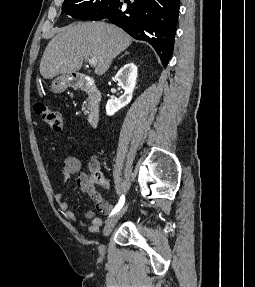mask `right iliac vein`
I'll return each mask as SVG.
<instances>
[{"label": "right iliac vein", "mask_w": 255, "mask_h": 287, "mask_svg": "<svg viewBox=\"0 0 255 287\" xmlns=\"http://www.w3.org/2000/svg\"><path fill=\"white\" fill-rule=\"evenodd\" d=\"M127 209V206H125L124 208H122L118 213H116L114 216H112L105 224L104 229H103V235L104 236H108L113 228L115 227L117 221L120 219V217H122V215L125 213ZM99 252L101 255H104L105 253V247L103 245H101L99 247Z\"/></svg>", "instance_id": "right-iliac-vein-1"}]
</instances>
